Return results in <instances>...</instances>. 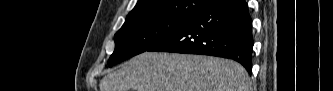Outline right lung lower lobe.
Masks as SVG:
<instances>
[{"label": "right lung lower lobe", "instance_id": "obj_1", "mask_svg": "<svg viewBox=\"0 0 333 91\" xmlns=\"http://www.w3.org/2000/svg\"><path fill=\"white\" fill-rule=\"evenodd\" d=\"M252 20L244 0H217L148 51L233 59L252 71Z\"/></svg>", "mask_w": 333, "mask_h": 91}]
</instances>
